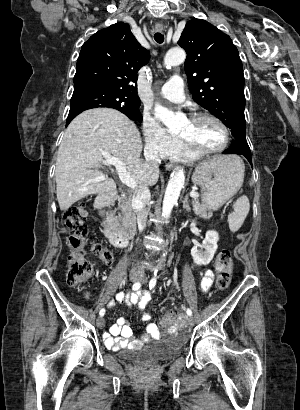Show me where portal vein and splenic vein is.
I'll return each mask as SVG.
<instances>
[{
	"label": "portal vein and splenic vein",
	"instance_id": "1",
	"mask_svg": "<svg viewBox=\"0 0 300 410\" xmlns=\"http://www.w3.org/2000/svg\"><path fill=\"white\" fill-rule=\"evenodd\" d=\"M103 157H104L103 164L114 165L116 167L119 178L124 185L132 189H135L137 187V183L127 173L124 163L121 160L111 156L107 152H103ZM190 196L196 199L199 197V194L196 191L192 190L190 192Z\"/></svg>",
	"mask_w": 300,
	"mask_h": 410
}]
</instances>
